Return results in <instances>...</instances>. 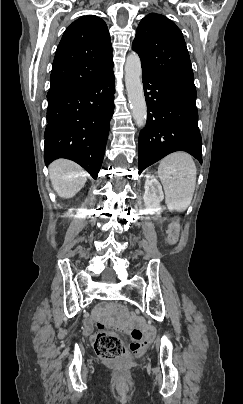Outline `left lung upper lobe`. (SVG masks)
<instances>
[{
  "label": "left lung upper lobe",
  "instance_id": "left-lung-upper-lobe-1",
  "mask_svg": "<svg viewBox=\"0 0 243 404\" xmlns=\"http://www.w3.org/2000/svg\"><path fill=\"white\" fill-rule=\"evenodd\" d=\"M132 49L139 54L142 71L194 82L182 32L165 16L151 13L144 17L137 28Z\"/></svg>",
  "mask_w": 243,
  "mask_h": 404
}]
</instances>
